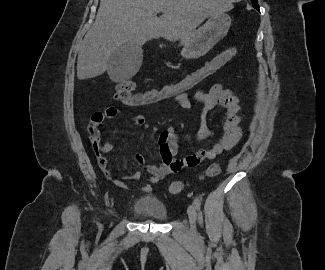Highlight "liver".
Segmentation results:
<instances>
[{"label": "liver", "mask_w": 325, "mask_h": 270, "mask_svg": "<svg viewBox=\"0 0 325 270\" xmlns=\"http://www.w3.org/2000/svg\"><path fill=\"white\" fill-rule=\"evenodd\" d=\"M160 8L162 15L157 17ZM232 8L228 0H101L79 49L77 77L84 80L103 74L111 55L127 42L141 47L159 37L185 40L205 19Z\"/></svg>", "instance_id": "1"}]
</instances>
